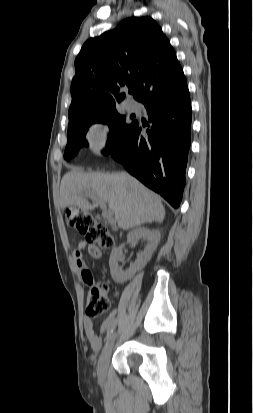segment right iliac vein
Listing matches in <instances>:
<instances>
[{"mask_svg":"<svg viewBox=\"0 0 253 413\" xmlns=\"http://www.w3.org/2000/svg\"><path fill=\"white\" fill-rule=\"evenodd\" d=\"M116 336H117L116 333H113L111 335L108 346L104 349V351L102 352L99 358L98 365H97V374L100 379L105 378L106 370L108 367L110 355L112 352V348H113Z\"/></svg>","mask_w":253,"mask_h":413,"instance_id":"obj_1","label":"right iliac vein"}]
</instances>
